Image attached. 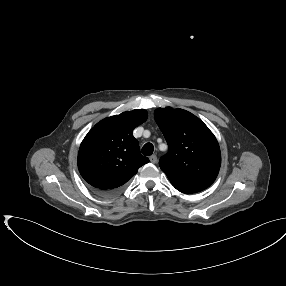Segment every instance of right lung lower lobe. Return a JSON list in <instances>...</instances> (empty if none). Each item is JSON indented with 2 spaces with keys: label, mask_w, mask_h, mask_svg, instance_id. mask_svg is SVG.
Wrapping results in <instances>:
<instances>
[{
  "label": "right lung lower lobe",
  "mask_w": 286,
  "mask_h": 286,
  "mask_svg": "<svg viewBox=\"0 0 286 286\" xmlns=\"http://www.w3.org/2000/svg\"><path fill=\"white\" fill-rule=\"evenodd\" d=\"M94 193L100 195V196H109V195H112L116 192H103V191H99V190H96V189H93Z\"/></svg>",
  "instance_id": "obj_1"
}]
</instances>
